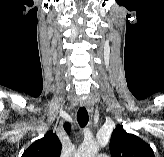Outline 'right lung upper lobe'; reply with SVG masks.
<instances>
[{"label":"right lung upper lobe","instance_id":"1","mask_svg":"<svg viewBox=\"0 0 164 157\" xmlns=\"http://www.w3.org/2000/svg\"><path fill=\"white\" fill-rule=\"evenodd\" d=\"M64 129L70 133V124H64ZM62 144L53 131H49L45 136L35 141L28 147L21 157H60Z\"/></svg>","mask_w":164,"mask_h":157}]
</instances>
